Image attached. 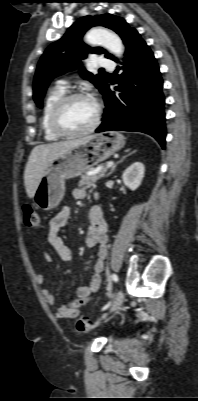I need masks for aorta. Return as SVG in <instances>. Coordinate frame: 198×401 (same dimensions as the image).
<instances>
[{
    "instance_id": "aorta-1",
    "label": "aorta",
    "mask_w": 198,
    "mask_h": 401,
    "mask_svg": "<svg viewBox=\"0 0 198 401\" xmlns=\"http://www.w3.org/2000/svg\"><path fill=\"white\" fill-rule=\"evenodd\" d=\"M86 42L91 45H102L118 57H121L124 51L120 37L105 28L97 27L91 29L86 35Z\"/></svg>"
}]
</instances>
